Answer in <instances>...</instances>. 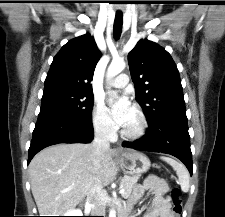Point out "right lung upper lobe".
I'll return each instance as SVG.
<instances>
[{"instance_id": "obj_1", "label": "right lung upper lobe", "mask_w": 225, "mask_h": 217, "mask_svg": "<svg viewBox=\"0 0 225 217\" xmlns=\"http://www.w3.org/2000/svg\"><path fill=\"white\" fill-rule=\"evenodd\" d=\"M100 57L101 53L89 33L70 40L54 57L45 80L44 93L69 91L92 94L90 82Z\"/></svg>"}]
</instances>
